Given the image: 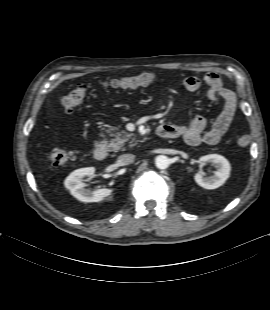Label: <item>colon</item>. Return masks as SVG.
<instances>
[{
    "label": "colon",
    "instance_id": "5ec220e1",
    "mask_svg": "<svg viewBox=\"0 0 270 310\" xmlns=\"http://www.w3.org/2000/svg\"><path fill=\"white\" fill-rule=\"evenodd\" d=\"M154 81V75L151 73H141L134 76L112 79L105 83L106 86L119 89H136L151 84ZM87 88L80 86L77 89L63 95L60 99L62 106L69 110L82 105L86 99ZM251 142L247 134H239L235 138L236 145L241 149H246ZM50 161L55 166H63L74 159V153L64 148H55L50 154Z\"/></svg>",
    "mask_w": 270,
    "mask_h": 310
}]
</instances>
